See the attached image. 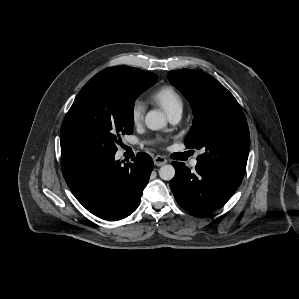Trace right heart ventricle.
<instances>
[{"label":"right heart ventricle","instance_id":"obj_1","mask_svg":"<svg viewBox=\"0 0 299 299\" xmlns=\"http://www.w3.org/2000/svg\"><path fill=\"white\" fill-rule=\"evenodd\" d=\"M150 98L154 103L161 106L168 115L183 108V98L172 86L165 85L156 89Z\"/></svg>","mask_w":299,"mask_h":299}]
</instances>
